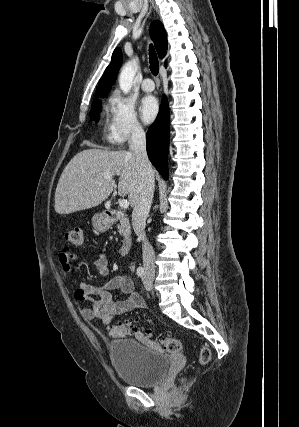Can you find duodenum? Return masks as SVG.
I'll list each match as a JSON object with an SVG mask.
<instances>
[{"label": "duodenum", "instance_id": "1", "mask_svg": "<svg viewBox=\"0 0 299 427\" xmlns=\"http://www.w3.org/2000/svg\"><path fill=\"white\" fill-rule=\"evenodd\" d=\"M121 216H122V213L117 211V210H108L106 212V218H107V222L109 224L116 222L118 219L121 218ZM131 248H132L131 240L125 239L123 241V243L121 244V247H120V251H119L120 255L122 257L129 255Z\"/></svg>", "mask_w": 299, "mask_h": 427}]
</instances>
